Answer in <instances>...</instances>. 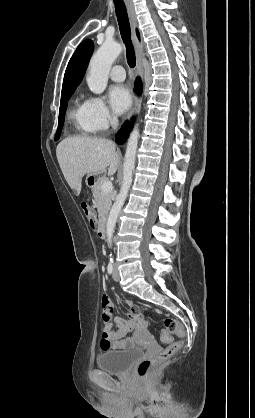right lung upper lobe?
<instances>
[{
  "mask_svg": "<svg viewBox=\"0 0 255 418\" xmlns=\"http://www.w3.org/2000/svg\"><path fill=\"white\" fill-rule=\"evenodd\" d=\"M137 35L139 37L138 31ZM93 49L94 44L89 39L79 44L66 68L62 92L75 90L76 87L80 84L87 69L90 57L93 53Z\"/></svg>",
  "mask_w": 255,
  "mask_h": 418,
  "instance_id": "obj_1",
  "label": "right lung upper lobe"
}]
</instances>
